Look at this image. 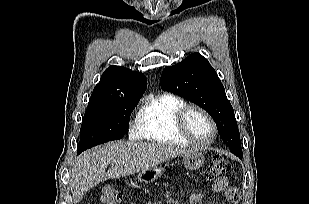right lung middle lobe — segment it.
Returning <instances> with one entry per match:
<instances>
[{"label":"right lung middle lobe","instance_id":"1","mask_svg":"<svg viewBox=\"0 0 309 204\" xmlns=\"http://www.w3.org/2000/svg\"><path fill=\"white\" fill-rule=\"evenodd\" d=\"M139 100L116 99L88 104L80 129L77 153L127 134L131 112Z\"/></svg>","mask_w":309,"mask_h":204}]
</instances>
